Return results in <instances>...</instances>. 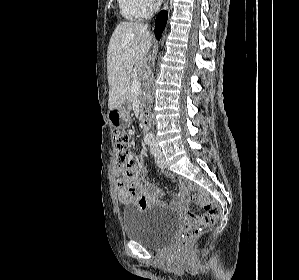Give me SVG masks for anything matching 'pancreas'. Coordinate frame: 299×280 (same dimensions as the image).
<instances>
[{
    "instance_id": "cf45deb5",
    "label": "pancreas",
    "mask_w": 299,
    "mask_h": 280,
    "mask_svg": "<svg viewBox=\"0 0 299 280\" xmlns=\"http://www.w3.org/2000/svg\"><path fill=\"white\" fill-rule=\"evenodd\" d=\"M137 99L139 102L141 100V96H140V93H138V96H134L131 91L128 92V95H127V104L129 105V107H132L133 105V100L134 99Z\"/></svg>"
}]
</instances>
